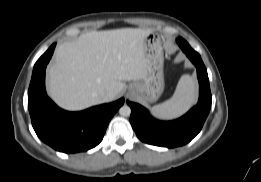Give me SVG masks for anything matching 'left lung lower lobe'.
Masks as SVG:
<instances>
[{
    "label": "left lung lower lobe",
    "instance_id": "obj_1",
    "mask_svg": "<svg viewBox=\"0 0 261 182\" xmlns=\"http://www.w3.org/2000/svg\"><path fill=\"white\" fill-rule=\"evenodd\" d=\"M197 69L199 101L188 113L173 121H158L147 109L128 101L131 107L130 122L138 138L148 144L173 148L190 142L202 129L210 112L211 92L205 65L193 49H182Z\"/></svg>",
    "mask_w": 261,
    "mask_h": 182
}]
</instances>
